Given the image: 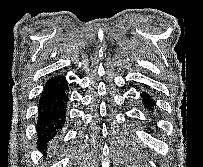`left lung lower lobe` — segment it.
<instances>
[{
    "label": "left lung lower lobe",
    "mask_w": 203,
    "mask_h": 167,
    "mask_svg": "<svg viewBox=\"0 0 203 167\" xmlns=\"http://www.w3.org/2000/svg\"><path fill=\"white\" fill-rule=\"evenodd\" d=\"M142 97H143V103H144V107L149 111V112H153L154 111V107H155V102L152 99V96L146 92V91H142Z\"/></svg>",
    "instance_id": "1"
}]
</instances>
